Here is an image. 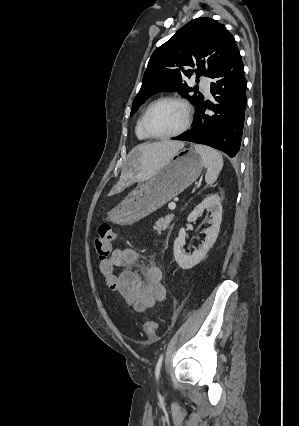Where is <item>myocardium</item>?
Listing matches in <instances>:
<instances>
[{
  "instance_id": "myocardium-1",
  "label": "myocardium",
  "mask_w": 299,
  "mask_h": 426,
  "mask_svg": "<svg viewBox=\"0 0 299 426\" xmlns=\"http://www.w3.org/2000/svg\"><path fill=\"white\" fill-rule=\"evenodd\" d=\"M164 102H175L179 105H181L185 111V121L184 124L182 125V127L180 129H178L177 131L170 133V134H164V135H158L153 133L148 126V119L149 116L152 112V110L159 104L164 103ZM192 122V107L190 105V103L180 97V96H164L161 97L155 101H153L146 109L143 119H142V128L144 133L149 137V138H153V139H160V140H164V139H170V138H175L178 137L180 135H182L183 133H185Z\"/></svg>"
}]
</instances>
